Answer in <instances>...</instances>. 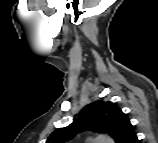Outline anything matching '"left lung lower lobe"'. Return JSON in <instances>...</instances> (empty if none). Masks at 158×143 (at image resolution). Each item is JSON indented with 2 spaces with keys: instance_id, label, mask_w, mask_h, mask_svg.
I'll list each match as a JSON object with an SVG mask.
<instances>
[{
  "instance_id": "1",
  "label": "left lung lower lobe",
  "mask_w": 158,
  "mask_h": 143,
  "mask_svg": "<svg viewBox=\"0 0 158 143\" xmlns=\"http://www.w3.org/2000/svg\"><path fill=\"white\" fill-rule=\"evenodd\" d=\"M128 143H138V138L136 134L128 141Z\"/></svg>"
}]
</instances>
